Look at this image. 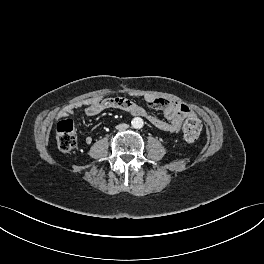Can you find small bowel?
<instances>
[{"instance_id":"obj_1","label":"small bowel","mask_w":264,"mask_h":264,"mask_svg":"<svg viewBox=\"0 0 264 264\" xmlns=\"http://www.w3.org/2000/svg\"><path fill=\"white\" fill-rule=\"evenodd\" d=\"M144 100L156 108L163 110L166 120H162L155 115L149 113L143 107L133 103L124 97H93L85 99L81 102L68 105L60 115L66 116L72 114L75 109L83 107V112L87 116H95L107 109H121L129 112L132 115L142 113L156 128L171 133H178L181 128V123L186 117H194V112L185 104L158 98L153 95H144ZM86 143L91 144L92 138L86 137Z\"/></svg>"}]
</instances>
